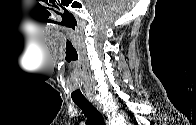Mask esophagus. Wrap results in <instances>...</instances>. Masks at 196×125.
<instances>
[{
	"instance_id": "1",
	"label": "esophagus",
	"mask_w": 196,
	"mask_h": 125,
	"mask_svg": "<svg viewBox=\"0 0 196 125\" xmlns=\"http://www.w3.org/2000/svg\"><path fill=\"white\" fill-rule=\"evenodd\" d=\"M91 103L94 105V107L97 109V111L102 115L105 125H110L109 124V118L108 116L104 113L102 110L101 105L95 100V99H90Z\"/></svg>"
}]
</instances>
